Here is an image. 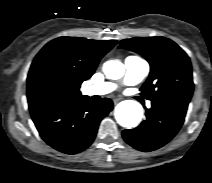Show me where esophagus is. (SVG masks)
<instances>
[{
    "label": "esophagus",
    "instance_id": "esophagus-1",
    "mask_svg": "<svg viewBox=\"0 0 212 183\" xmlns=\"http://www.w3.org/2000/svg\"><path fill=\"white\" fill-rule=\"evenodd\" d=\"M113 102H114V104H116V103L119 102V99L116 98V99L113 100Z\"/></svg>",
    "mask_w": 212,
    "mask_h": 183
}]
</instances>
